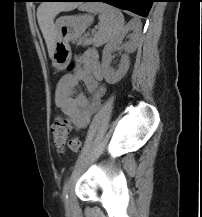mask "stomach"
Masks as SVG:
<instances>
[{
    "instance_id": "0dacf381",
    "label": "stomach",
    "mask_w": 202,
    "mask_h": 217,
    "mask_svg": "<svg viewBox=\"0 0 202 217\" xmlns=\"http://www.w3.org/2000/svg\"><path fill=\"white\" fill-rule=\"evenodd\" d=\"M92 21L93 18L88 15L62 16L56 21L52 56L56 69L63 70L67 67L72 56L69 42L77 40Z\"/></svg>"
}]
</instances>
